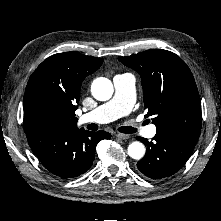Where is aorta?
Masks as SVG:
<instances>
[{
  "label": "aorta",
  "mask_w": 221,
  "mask_h": 221,
  "mask_svg": "<svg viewBox=\"0 0 221 221\" xmlns=\"http://www.w3.org/2000/svg\"><path fill=\"white\" fill-rule=\"evenodd\" d=\"M112 82L104 77L97 78L91 85V92L99 101L109 100L113 95ZM128 155L133 159H141L145 155V147L141 142H132L128 146Z\"/></svg>",
  "instance_id": "1"
}]
</instances>
